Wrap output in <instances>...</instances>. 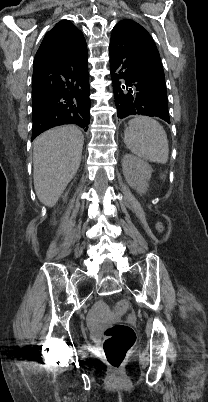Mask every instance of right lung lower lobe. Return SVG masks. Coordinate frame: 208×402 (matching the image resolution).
I'll use <instances>...</instances> for the list:
<instances>
[{
  "instance_id": "right-lung-lower-lobe-1",
  "label": "right lung lower lobe",
  "mask_w": 208,
  "mask_h": 402,
  "mask_svg": "<svg viewBox=\"0 0 208 402\" xmlns=\"http://www.w3.org/2000/svg\"><path fill=\"white\" fill-rule=\"evenodd\" d=\"M87 59L83 38L63 53L34 60L32 140L64 124L88 129L91 102Z\"/></svg>"
}]
</instances>
